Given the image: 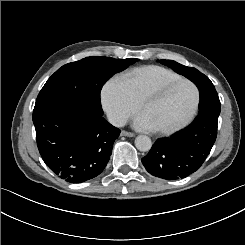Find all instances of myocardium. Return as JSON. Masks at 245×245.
I'll use <instances>...</instances> for the list:
<instances>
[{"mask_svg": "<svg viewBox=\"0 0 245 245\" xmlns=\"http://www.w3.org/2000/svg\"><path fill=\"white\" fill-rule=\"evenodd\" d=\"M179 84H186L190 87L191 92H192V103H191L188 113L177 124L170 126V127L153 129L155 132L160 133L162 135H170V134H173L179 131L180 129L188 125L190 121L193 119L197 111L198 105H199V91L197 87L190 80L185 79V78H179V79L167 81L165 83H154L143 89L137 101V108L139 110L142 104L145 102V100L152 93L157 92V91H166Z\"/></svg>", "mask_w": 245, "mask_h": 245, "instance_id": "1", "label": "myocardium"}]
</instances>
